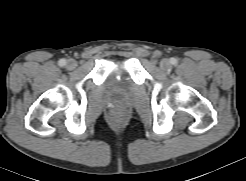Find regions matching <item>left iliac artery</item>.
I'll return each mask as SVG.
<instances>
[{
    "instance_id": "44dca946",
    "label": "left iliac artery",
    "mask_w": 246,
    "mask_h": 181,
    "mask_svg": "<svg viewBox=\"0 0 246 181\" xmlns=\"http://www.w3.org/2000/svg\"><path fill=\"white\" fill-rule=\"evenodd\" d=\"M170 62H171L172 64H176V63H177V59L171 58V59H170Z\"/></svg>"
}]
</instances>
